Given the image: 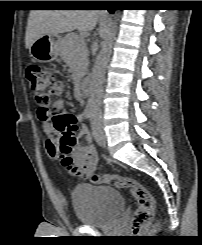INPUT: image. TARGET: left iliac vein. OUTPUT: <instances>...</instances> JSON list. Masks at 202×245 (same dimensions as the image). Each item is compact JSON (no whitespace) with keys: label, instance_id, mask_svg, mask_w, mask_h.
Wrapping results in <instances>:
<instances>
[{"label":"left iliac vein","instance_id":"obj_1","mask_svg":"<svg viewBox=\"0 0 202 245\" xmlns=\"http://www.w3.org/2000/svg\"><path fill=\"white\" fill-rule=\"evenodd\" d=\"M91 126H92V135L96 143L104 147L106 145L107 135L103 130V124L101 120L97 116L91 121Z\"/></svg>","mask_w":202,"mask_h":245}]
</instances>
